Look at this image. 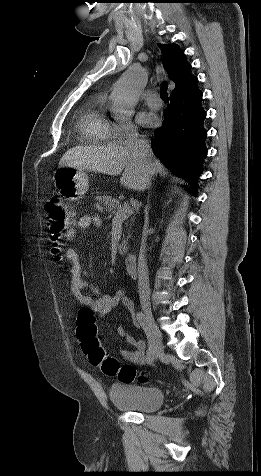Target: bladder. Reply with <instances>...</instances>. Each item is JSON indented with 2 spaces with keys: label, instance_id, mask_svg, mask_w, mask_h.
Wrapping results in <instances>:
<instances>
[{
  "label": "bladder",
  "instance_id": "obj_1",
  "mask_svg": "<svg viewBox=\"0 0 261 476\" xmlns=\"http://www.w3.org/2000/svg\"><path fill=\"white\" fill-rule=\"evenodd\" d=\"M113 405L119 410L152 413L163 405L165 395L159 387H145L131 383L113 384L109 390Z\"/></svg>",
  "mask_w": 261,
  "mask_h": 476
}]
</instances>
